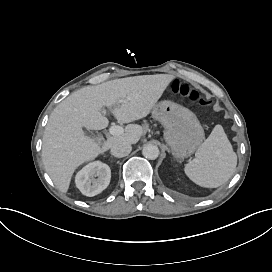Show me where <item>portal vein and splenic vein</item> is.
<instances>
[{
  "label": "portal vein and splenic vein",
  "mask_w": 272,
  "mask_h": 272,
  "mask_svg": "<svg viewBox=\"0 0 272 272\" xmlns=\"http://www.w3.org/2000/svg\"><path fill=\"white\" fill-rule=\"evenodd\" d=\"M123 102H124L123 99H119V100L117 101L116 105H117V104H121V103H123ZM103 113H106V110H103ZM109 133H110V134H113V135H120V134L123 133V128H122L121 126H118V125L111 126V127L109 128Z\"/></svg>",
  "instance_id": "1"
}]
</instances>
